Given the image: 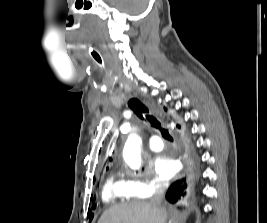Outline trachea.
<instances>
[{"instance_id":"trachea-1","label":"trachea","mask_w":267,"mask_h":223,"mask_svg":"<svg viewBox=\"0 0 267 223\" xmlns=\"http://www.w3.org/2000/svg\"><path fill=\"white\" fill-rule=\"evenodd\" d=\"M128 105L141 120L148 121L153 128L158 129L164 139L173 141V138L169 134L168 130L161 127V123L157 120V118L149 114L148 108L137 98L130 99Z\"/></svg>"}]
</instances>
